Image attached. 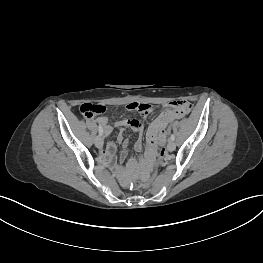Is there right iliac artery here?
Wrapping results in <instances>:
<instances>
[{
	"label": "right iliac artery",
	"mask_w": 263,
	"mask_h": 263,
	"mask_svg": "<svg viewBox=\"0 0 263 263\" xmlns=\"http://www.w3.org/2000/svg\"><path fill=\"white\" fill-rule=\"evenodd\" d=\"M98 129H99V135H102L103 134V129H102V127L100 125H99Z\"/></svg>",
	"instance_id": "1"
}]
</instances>
